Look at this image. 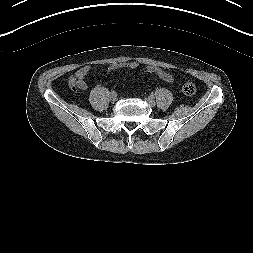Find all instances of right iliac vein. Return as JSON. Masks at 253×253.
Returning a JSON list of instances; mask_svg holds the SVG:
<instances>
[{
    "label": "right iliac vein",
    "instance_id": "right-iliac-vein-1",
    "mask_svg": "<svg viewBox=\"0 0 253 253\" xmlns=\"http://www.w3.org/2000/svg\"><path fill=\"white\" fill-rule=\"evenodd\" d=\"M117 99H118V98H117V95H116V94L110 96V101H111V102H116Z\"/></svg>",
    "mask_w": 253,
    "mask_h": 253
}]
</instances>
